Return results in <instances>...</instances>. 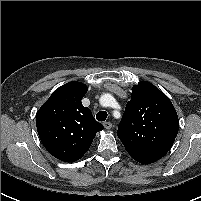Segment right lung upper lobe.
Here are the masks:
<instances>
[{"label": "right lung upper lobe", "instance_id": "cb5924a9", "mask_svg": "<svg viewBox=\"0 0 201 201\" xmlns=\"http://www.w3.org/2000/svg\"><path fill=\"white\" fill-rule=\"evenodd\" d=\"M88 87L77 81L55 90L36 114L41 142L55 158L64 162L80 159L103 125L81 103Z\"/></svg>", "mask_w": 201, "mask_h": 201}]
</instances>
